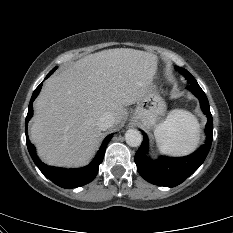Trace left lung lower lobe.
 I'll return each instance as SVG.
<instances>
[{"label":"left lung lower lobe","mask_w":233,"mask_h":233,"mask_svg":"<svg viewBox=\"0 0 233 233\" xmlns=\"http://www.w3.org/2000/svg\"><path fill=\"white\" fill-rule=\"evenodd\" d=\"M200 101V106L208 121L205 132L206 143L186 157L170 158L161 156L158 160L147 157V137L143 132V142L135 154V163L139 174L148 182L165 187H175L185 181L204 162L212 143L213 122L208 99L198 85L192 83L187 87Z\"/></svg>","instance_id":"0a47b994"}]
</instances>
